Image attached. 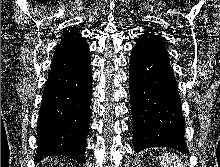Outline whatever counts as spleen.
<instances>
[{
	"label": "spleen",
	"mask_w": 220,
	"mask_h": 167,
	"mask_svg": "<svg viewBox=\"0 0 220 167\" xmlns=\"http://www.w3.org/2000/svg\"><path fill=\"white\" fill-rule=\"evenodd\" d=\"M160 160L163 167H185L179 156L175 154H166Z\"/></svg>",
	"instance_id": "obj_1"
}]
</instances>
